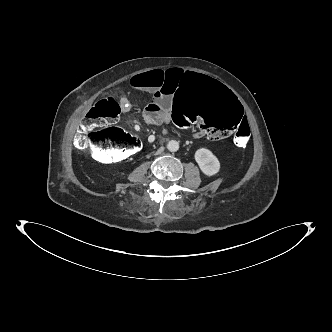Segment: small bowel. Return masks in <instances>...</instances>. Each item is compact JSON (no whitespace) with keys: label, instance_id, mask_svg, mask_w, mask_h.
I'll list each match as a JSON object with an SVG mask.
<instances>
[{"label":"small bowel","instance_id":"c3829d8e","mask_svg":"<svg viewBox=\"0 0 332 332\" xmlns=\"http://www.w3.org/2000/svg\"><path fill=\"white\" fill-rule=\"evenodd\" d=\"M182 78H184V73L179 69H155L131 78L130 83L133 88L153 94L152 101L147 104L143 111V119L146 123L160 126L171 120L172 97ZM121 109L123 113H128L131 110V104L127 99H122ZM193 137L196 139L207 138L200 132L193 134Z\"/></svg>","mask_w":332,"mask_h":332}]
</instances>
